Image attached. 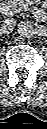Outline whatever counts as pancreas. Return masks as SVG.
Masks as SVG:
<instances>
[{"instance_id": "cf45deb5", "label": "pancreas", "mask_w": 47, "mask_h": 129, "mask_svg": "<svg viewBox=\"0 0 47 129\" xmlns=\"http://www.w3.org/2000/svg\"><path fill=\"white\" fill-rule=\"evenodd\" d=\"M32 0H13V5L17 12L27 11L29 9V2Z\"/></svg>"}]
</instances>
